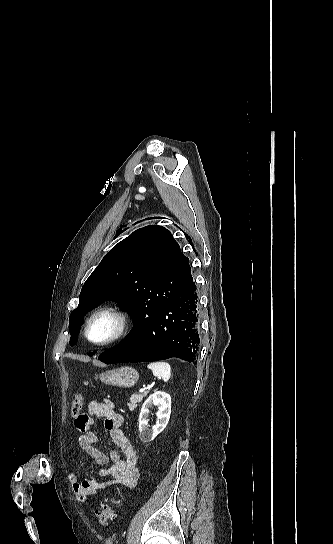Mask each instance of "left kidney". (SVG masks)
<instances>
[{"instance_id":"5707ae66","label":"left kidney","mask_w":333,"mask_h":544,"mask_svg":"<svg viewBox=\"0 0 333 544\" xmlns=\"http://www.w3.org/2000/svg\"><path fill=\"white\" fill-rule=\"evenodd\" d=\"M158 407V412L156 413L157 422L152 429L148 428V416L149 408L152 406ZM171 414V397L169 394L156 391L151 394L147 400L144 402L141 408L139 415V437L144 443L150 442L156 438V436L161 433L167 426Z\"/></svg>"}]
</instances>
